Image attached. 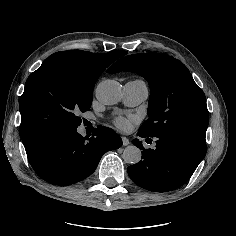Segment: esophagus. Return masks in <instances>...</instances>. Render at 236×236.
I'll list each match as a JSON object with an SVG mask.
<instances>
[{
  "label": "esophagus",
  "instance_id": "1",
  "mask_svg": "<svg viewBox=\"0 0 236 236\" xmlns=\"http://www.w3.org/2000/svg\"><path fill=\"white\" fill-rule=\"evenodd\" d=\"M122 141L124 146H127L130 143L129 139L125 136L122 137Z\"/></svg>",
  "mask_w": 236,
  "mask_h": 236
}]
</instances>
